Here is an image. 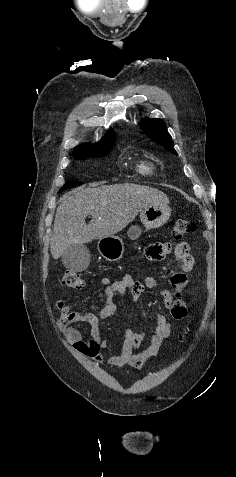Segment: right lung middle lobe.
<instances>
[{
	"mask_svg": "<svg viewBox=\"0 0 236 477\" xmlns=\"http://www.w3.org/2000/svg\"><path fill=\"white\" fill-rule=\"evenodd\" d=\"M111 149H112V148H110V149H103V150H100V151H98V152H95V153H93V154H91V155H93V156L96 157V158H97V157H104V156H106V155L111 151ZM91 155L79 156V157H77V158L86 159V158L90 157ZM75 184H76L75 181L66 182V183L62 186V188L60 189V192L66 190V189L72 188ZM77 184L79 185V184H81V183H77Z\"/></svg>",
	"mask_w": 236,
	"mask_h": 477,
	"instance_id": "obj_1",
	"label": "right lung middle lobe"
}]
</instances>
